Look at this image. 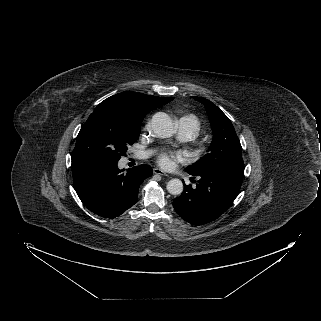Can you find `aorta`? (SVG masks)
I'll list each match as a JSON object with an SVG mask.
<instances>
[{
    "label": "aorta",
    "mask_w": 321,
    "mask_h": 321,
    "mask_svg": "<svg viewBox=\"0 0 321 321\" xmlns=\"http://www.w3.org/2000/svg\"><path fill=\"white\" fill-rule=\"evenodd\" d=\"M153 132L161 138L171 137L175 133L174 125L171 118L164 112H157L151 120ZM167 191L172 195H179L183 192V183L181 180L174 178L168 181Z\"/></svg>",
    "instance_id": "obj_1"
}]
</instances>
